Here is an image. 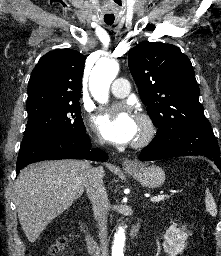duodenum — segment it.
Here are the masks:
<instances>
[{"mask_svg": "<svg viewBox=\"0 0 221 256\" xmlns=\"http://www.w3.org/2000/svg\"><path fill=\"white\" fill-rule=\"evenodd\" d=\"M79 228L82 234L84 235V242L89 253L92 256H100V246L96 239L93 237V235L89 232V230L87 229L82 220L79 221Z\"/></svg>", "mask_w": 221, "mask_h": 256, "instance_id": "obj_1", "label": "duodenum"}]
</instances>
